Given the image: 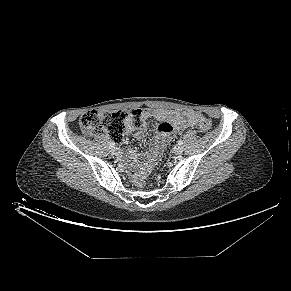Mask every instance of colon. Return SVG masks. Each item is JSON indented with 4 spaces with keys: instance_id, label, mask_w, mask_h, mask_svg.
Masks as SVG:
<instances>
[{
    "instance_id": "colon-1",
    "label": "colon",
    "mask_w": 291,
    "mask_h": 291,
    "mask_svg": "<svg viewBox=\"0 0 291 291\" xmlns=\"http://www.w3.org/2000/svg\"><path fill=\"white\" fill-rule=\"evenodd\" d=\"M144 120V112L141 109L113 112L92 110L81 116L80 126L89 135L106 134L114 142L121 143L124 135L140 128ZM210 127V120L206 117H201L199 129L202 132H206ZM149 171L150 169L143 170L141 176L146 175Z\"/></svg>"
}]
</instances>
